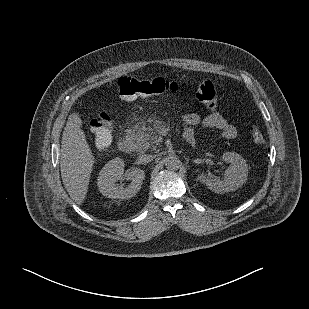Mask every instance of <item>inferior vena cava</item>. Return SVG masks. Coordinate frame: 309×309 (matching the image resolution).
<instances>
[{"label": "inferior vena cava", "instance_id": "obj_1", "mask_svg": "<svg viewBox=\"0 0 309 309\" xmlns=\"http://www.w3.org/2000/svg\"><path fill=\"white\" fill-rule=\"evenodd\" d=\"M154 159V156L151 154H141L138 157V163L139 164H148Z\"/></svg>", "mask_w": 309, "mask_h": 309}]
</instances>
